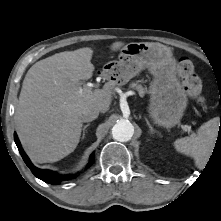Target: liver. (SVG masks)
<instances>
[{
  "mask_svg": "<svg viewBox=\"0 0 221 221\" xmlns=\"http://www.w3.org/2000/svg\"><path fill=\"white\" fill-rule=\"evenodd\" d=\"M123 42L110 49L119 50ZM92 48L64 51L36 62L23 80L15 123L19 139L29 157L37 163L56 162L77 147L81 132V111L96 106L106 112L112 102L114 81L92 91L82 87L95 70Z\"/></svg>",
  "mask_w": 221,
  "mask_h": 221,
  "instance_id": "6515ba94",
  "label": "liver"
}]
</instances>
